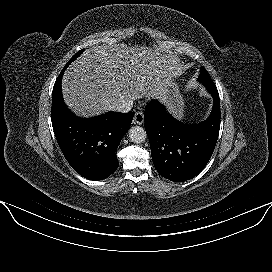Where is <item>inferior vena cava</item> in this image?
Returning <instances> with one entry per match:
<instances>
[{
	"instance_id": "inferior-vena-cava-1",
	"label": "inferior vena cava",
	"mask_w": 272,
	"mask_h": 272,
	"mask_svg": "<svg viewBox=\"0 0 272 272\" xmlns=\"http://www.w3.org/2000/svg\"><path fill=\"white\" fill-rule=\"evenodd\" d=\"M132 107H133L132 100H121L118 104L112 106V110L121 113H127L132 109Z\"/></svg>"
}]
</instances>
